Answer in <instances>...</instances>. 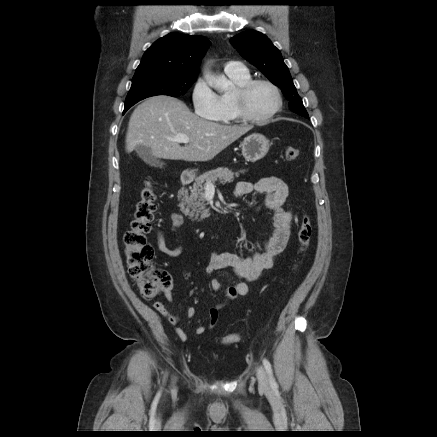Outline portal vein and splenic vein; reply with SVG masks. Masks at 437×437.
<instances>
[{
  "mask_svg": "<svg viewBox=\"0 0 437 437\" xmlns=\"http://www.w3.org/2000/svg\"><path fill=\"white\" fill-rule=\"evenodd\" d=\"M173 140L178 142V143H185V144L189 143V138L185 135H182V134H178L177 136H175V138ZM205 189L206 190H215V186L212 183L208 182L206 184Z\"/></svg>",
  "mask_w": 437,
  "mask_h": 437,
  "instance_id": "1",
  "label": "portal vein and splenic vein"
}]
</instances>
